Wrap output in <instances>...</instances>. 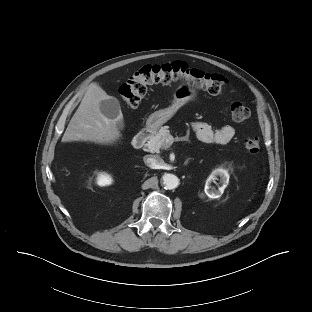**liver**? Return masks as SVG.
Returning <instances> with one entry per match:
<instances>
[{
	"label": "liver",
	"mask_w": 312,
	"mask_h": 312,
	"mask_svg": "<svg viewBox=\"0 0 312 312\" xmlns=\"http://www.w3.org/2000/svg\"><path fill=\"white\" fill-rule=\"evenodd\" d=\"M111 96L97 84L92 83L62 137V142L89 141L97 144H112L121 138L116 120L102 114L100 102Z\"/></svg>",
	"instance_id": "1"
}]
</instances>
